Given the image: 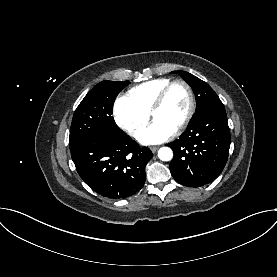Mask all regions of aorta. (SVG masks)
I'll use <instances>...</instances> for the list:
<instances>
[{"instance_id": "762f6f07", "label": "aorta", "mask_w": 277, "mask_h": 277, "mask_svg": "<svg viewBox=\"0 0 277 277\" xmlns=\"http://www.w3.org/2000/svg\"><path fill=\"white\" fill-rule=\"evenodd\" d=\"M158 157L162 161H170L173 158V152L169 147H162L158 151Z\"/></svg>"}]
</instances>
